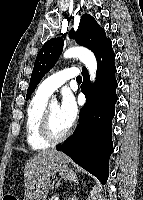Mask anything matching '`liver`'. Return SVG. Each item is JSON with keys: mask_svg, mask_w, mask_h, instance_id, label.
<instances>
[{"mask_svg": "<svg viewBox=\"0 0 143 200\" xmlns=\"http://www.w3.org/2000/svg\"><path fill=\"white\" fill-rule=\"evenodd\" d=\"M69 160L67 155L56 150L39 151L30 158L24 169L25 200H46L51 187L50 177Z\"/></svg>", "mask_w": 143, "mask_h": 200, "instance_id": "1", "label": "liver"}]
</instances>
